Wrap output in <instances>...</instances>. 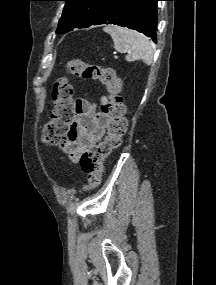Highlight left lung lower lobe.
I'll list each match as a JSON object with an SVG mask.
<instances>
[{"mask_svg": "<svg viewBox=\"0 0 216 285\" xmlns=\"http://www.w3.org/2000/svg\"><path fill=\"white\" fill-rule=\"evenodd\" d=\"M158 1L161 0H112L90 26L114 24L127 27L144 33L156 43Z\"/></svg>", "mask_w": 216, "mask_h": 285, "instance_id": "left-lung-lower-lobe-1", "label": "left lung lower lobe"}]
</instances>
